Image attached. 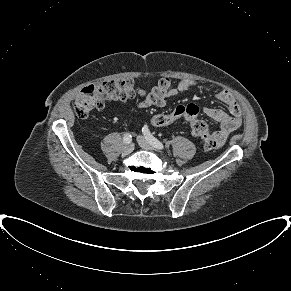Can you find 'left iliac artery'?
Masks as SVG:
<instances>
[{"label": "left iliac artery", "instance_id": "44dca946", "mask_svg": "<svg viewBox=\"0 0 291 291\" xmlns=\"http://www.w3.org/2000/svg\"><path fill=\"white\" fill-rule=\"evenodd\" d=\"M142 132H143L145 138L148 140V142L154 148L160 149V150L164 149L163 144L150 133V131L146 125L142 128Z\"/></svg>", "mask_w": 291, "mask_h": 291}]
</instances>
